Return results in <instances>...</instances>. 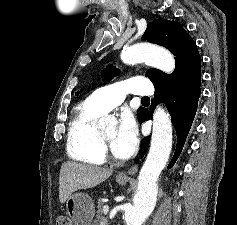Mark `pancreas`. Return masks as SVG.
Masks as SVG:
<instances>
[{"label":"pancreas","instance_id":"pancreas-1","mask_svg":"<svg viewBox=\"0 0 237 225\" xmlns=\"http://www.w3.org/2000/svg\"><path fill=\"white\" fill-rule=\"evenodd\" d=\"M97 215H96V225H101L103 221H105V217L103 216V208H102V202L101 200H98V205H97Z\"/></svg>","mask_w":237,"mask_h":225}]
</instances>
